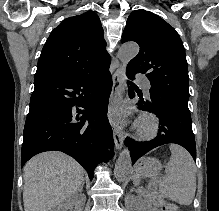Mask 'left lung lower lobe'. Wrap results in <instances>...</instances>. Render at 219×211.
<instances>
[{
    "mask_svg": "<svg viewBox=\"0 0 219 211\" xmlns=\"http://www.w3.org/2000/svg\"><path fill=\"white\" fill-rule=\"evenodd\" d=\"M133 73L127 72L129 79H134ZM134 93L131 89L130 97L138 98L137 106L141 110L154 113L159 118V131L156 138L151 141L139 142L134 139H127L125 144L128 146L132 164L148 151L169 143L183 146L189 151L191 156L196 159L195 138L191 126L190 111L181 105L163 100L160 98H143L142 93Z\"/></svg>",
    "mask_w": 219,
    "mask_h": 211,
    "instance_id": "0a47b994",
    "label": "left lung lower lobe"
}]
</instances>
